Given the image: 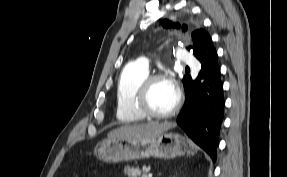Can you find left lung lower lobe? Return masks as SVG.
Wrapping results in <instances>:
<instances>
[{
    "instance_id": "0a47b994",
    "label": "left lung lower lobe",
    "mask_w": 287,
    "mask_h": 177,
    "mask_svg": "<svg viewBox=\"0 0 287 177\" xmlns=\"http://www.w3.org/2000/svg\"><path fill=\"white\" fill-rule=\"evenodd\" d=\"M197 59L201 63L198 77L183 79L186 98L177 123L215 161L225 102L213 43H209L205 53Z\"/></svg>"
}]
</instances>
